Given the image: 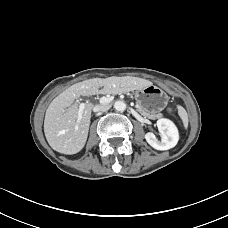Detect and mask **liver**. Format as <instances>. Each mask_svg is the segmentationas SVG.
Listing matches in <instances>:
<instances>
[{
    "label": "liver",
    "mask_w": 228,
    "mask_h": 228,
    "mask_svg": "<svg viewBox=\"0 0 228 228\" xmlns=\"http://www.w3.org/2000/svg\"><path fill=\"white\" fill-rule=\"evenodd\" d=\"M152 85V82L138 77L93 78L71 85L60 93L48 106L44 119V133L50 147L62 154L72 155L85 146L92 103H86L82 118L77 122L80 96H91L99 92L118 94L139 90ZM100 87H104L101 91Z\"/></svg>",
    "instance_id": "liver-1"
}]
</instances>
